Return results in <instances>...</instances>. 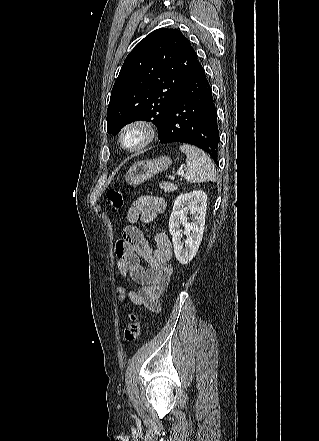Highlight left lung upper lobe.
Listing matches in <instances>:
<instances>
[{
	"mask_svg": "<svg viewBox=\"0 0 319 441\" xmlns=\"http://www.w3.org/2000/svg\"><path fill=\"white\" fill-rule=\"evenodd\" d=\"M200 63L177 29L161 28L141 40L126 57L107 109V132L128 123L151 121L160 134L182 86Z\"/></svg>",
	"mask_w": 319,
	"mask_h": 441,
	"instance_id": "left-lung-upper-lobe-1",
	"label": "left lung upper lobe"
}]
</instances>
